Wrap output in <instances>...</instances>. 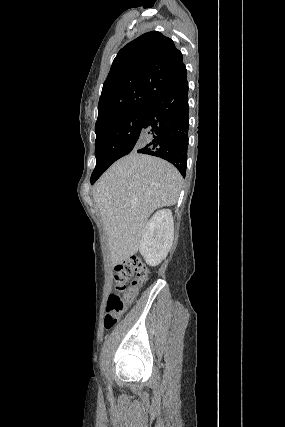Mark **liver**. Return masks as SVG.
<instances>
[{"label":"liver","instance_id":"6515ba94","mask_svg":"<svg viewBox=\"0 0 285 427\" xmlns=\"http://www.w3.org/2000/svg\"><path fill=\"white\" fill-rule=\"evenodd\" d=\"M182 184L179 171L167 161L132 152L116 161L93 189L108 237L112 265L137 253L150 215L176 204Z\"/></svg>","mask_w":285,"mask_h":427}]
</instances>
